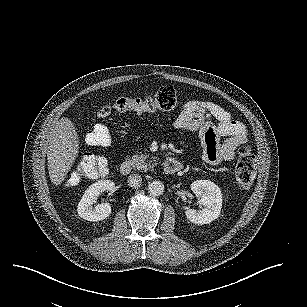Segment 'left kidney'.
I'll return each mask as SVG.
<instances>
[{
  "mask_svg": "<svg viewBox=\"0 0 307 307\" xmlns=\"http://www.w3.org/2000/svg\"><path fill=\"white\" fill-rule=\"evenodd\" d=\"M192 192L200 197L199 204L203 206L200 211L187 209V219L198 225L208 224L217 219L222 208V193L220 188L210 180H196L190 186Z\"/></svg>",
  "mask_w": 307,
  "mask_h": 307,
  "instance_id": "obj_1",
  "label": "left kidney"
}]
</instances>
